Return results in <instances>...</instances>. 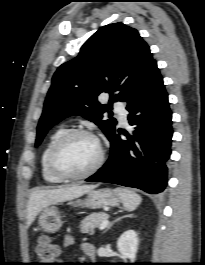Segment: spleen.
I'll list each match as a JSON object with an SVG mask.
<instances>
[{
	"instance_id": "obj_1",
	"label": "spleen",
	"mask_w": 205,
	"mask_h": 265,
	"mask_svg": "<svg viewBox=\"0 0 205 265\" xmlns=\"http://www.w3.org/2000/svg\"><path fill=\"white\" fill-rule=\"evenodd\" d=\"M115 192L120 197L123 206L127 211L135 210L142 201L141 196L133 190L118 187L115 189Z\"/></svg>"
}]
</instances>
